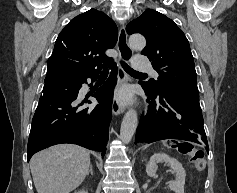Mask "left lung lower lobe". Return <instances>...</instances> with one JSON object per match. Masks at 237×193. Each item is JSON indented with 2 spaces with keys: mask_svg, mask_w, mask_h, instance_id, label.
I'll return each instance as SVG.
<instances>
[{
  "mask_svg": "<svg viewBox=\"0 0 237 193\" xmlns=\"http://www.w3.org/2000/svg\"><path fill=\"white\" fill-rule=\"evenodd\" d=\"M140 84L148 95L150 110L140 118L135 143L179 139L198 143L209 152L198 92L156 93Z\"/></svg>",
  "mask_w": 237,
  "mask_h": 193,
  "instance_id": "0a47b994",
  "label": "left lung lower lobe"
}]
</instances>
